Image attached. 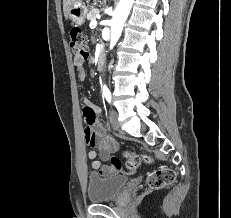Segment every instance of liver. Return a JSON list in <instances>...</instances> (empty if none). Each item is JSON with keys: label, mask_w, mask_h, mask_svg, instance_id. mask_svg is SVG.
<instances>
[{"label": "liver", "mask_w": 231, "mask_h": 218, "mask_svg": "<svg viewBox=\"0 0 231 218\" xmlns=\"http://www.w3.org/2000/svg\"><path fill=\"white\" fill-rule=\"evenodd\" d=\"M78 0H63V12H64V16L65 18L68 17V11L71 7V5Z\"/></svg>", "instance_id": "1"}]
</instances>
